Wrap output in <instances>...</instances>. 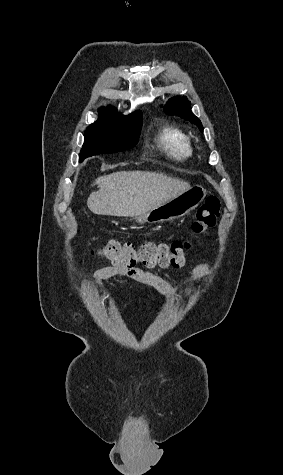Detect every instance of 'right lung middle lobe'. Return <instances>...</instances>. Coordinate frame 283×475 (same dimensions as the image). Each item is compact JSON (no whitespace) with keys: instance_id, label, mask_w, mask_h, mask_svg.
<instances>
[{"instance_id":"1","label":"right lung middle lobe","mask_w":283,"mask_h":475,"mask_svg":"<svg viewBox=\"0 0 283 475\" xmlns=\"http://www.w3.org/2000/svg\"><path fill=\"white\" fill-rule=\"evenodd\" d=\"M142 113L118 115L114 108H100L99 119L85 131V141L79 160L102 153H116L130 149L138 142Z\"/></svg>"}]
</instances>
